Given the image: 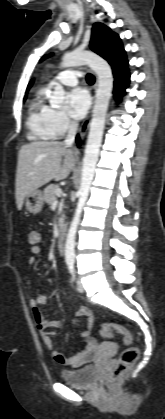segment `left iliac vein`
I'll list each match as a JSON object with an SVG mask.
<instances>
[{"label":"left iliac vein","mask_w":165,"mask_h":419,"mask_svg":"<svg viewBox=\"0 0 165 419\" xmlns=\"http://www.w3.org/2000/svg\"><path fill=\"white\" fill-rule=\"evenodd\" d=\"M77 290L80 293L84 292V287H83V285H82V283H81L80 280L77 281Z\"/></svg>","instance_id":"1"}]
</instances>
